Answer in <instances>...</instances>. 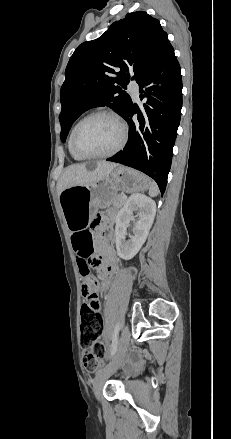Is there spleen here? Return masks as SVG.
<instances>
[{"label":"spleen","mask_w":231,"mask_h":439,"mask_svg":"<svg viewBox=\"0 0 231 439\" xmlns=\"http://www.w3.org/2000/svg\"><path fill=\"white\" fill-rule=\"evenodd\" d=\"M158 193H159V188L157 184L154 181H152L149 187V196L155 197L158 195Z\"/></svg>","instance_id":"3e777b00"}]
</instances>
